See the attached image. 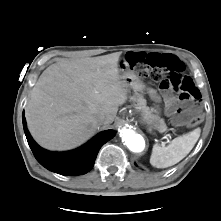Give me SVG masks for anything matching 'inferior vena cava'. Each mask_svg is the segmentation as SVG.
Segmentation results:
<instances>
[{
  "mask_svg": "<svg viewBox=\"0 0 221 221\" xmlns=\"http://www.w3.org/2000/svg\"><path fill=\"white\" fill-rule=\"evenodd\" d=\"M104 119H105V116H104V115H98V116H97V121H98L99 123H103Z\"/></svg>",
  "mask_w": 221,
  "mask_h": 221,
  "instance_id": "602c4592",
  "label": "inferior vena cava"
}]
</instances>
